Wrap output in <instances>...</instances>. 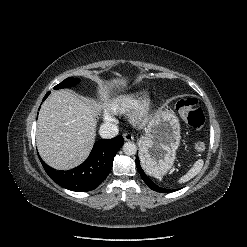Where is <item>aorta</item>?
Listing matches in <instances>:
<instances>
[{"mask_svg":"<svg viewBox=\"0 0 247 247\" xmlns=\"http://www.w3.org/2000/svg\"><path fill=\"white\" fill-rule=\"evenodd\" d=\"M123 151L126 155H135L137 152V146L133 142H126L123 145Z\"/></svg>","mask_w":247,"mask_h":247,"instance_id":"obj_1","label":"aorta"}]
</instances>
